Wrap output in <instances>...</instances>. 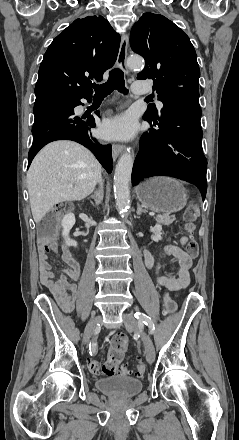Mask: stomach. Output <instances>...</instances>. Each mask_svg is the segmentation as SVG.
I'll use <instances>...</instances> for the list:
<instances>
[{"mask_svg": "<svg viewBox=\"0 0 239 440\" xmlns=\"http://www.w3.org/2000/svg\"><path fill=\"white\" fill-rule=\"evenodd\" d=\"M136 196L145 208L155 210V212H165V214H172V212H179L187 204V192L178 182L173 178H149L146 182L139 184L135 188Z\"/></svg>", "mask_w": 239, "mask_h": 440, "instance_id": "0dacf381", "label": "stomach"}]
</instances>
